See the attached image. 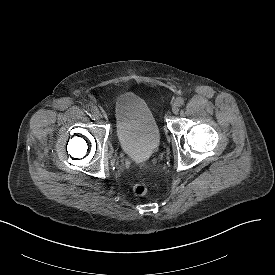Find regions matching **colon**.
<instances>
[{"label": "colon", "instance_id": "5ec220e1", "mask_svg": "<svg viewBox=\"0 0 275 275\" xmlns=\"http://www.w3.org/2000/svg\"><path fill=\"white\" fill-rule=\"evenodd\" d=\"M132 190L136 196H144L147 194L148 187L144 182H137L133 185Z\"/></svg>", "mask_w": 275, "mask_h": 275}]
</instances>
